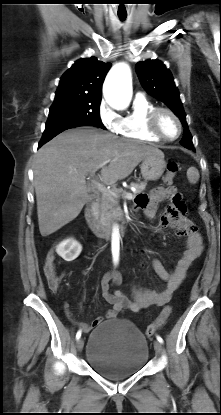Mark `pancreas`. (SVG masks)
Returning <instances> with one entry per match:
<instances>
[{"label": "pancreas", "mask_w": 221, "mask_h": 415, "mask_svg": "<svg viewBox=\"0 0 221 415\" xmlns=\"http://www.w3.org/2000/svg\"><path fill=\"white\" fill-rule=\"evenodd\" d=\"M136 190L133 192V195L139 194L145 190L147 183L146 182H131L130 184ZM115 193L122 192L121 188L113 189ZM119 207V199L117 196L112 194H105L102 195L97 199L95 204V212L97 217L100 219L101 222H112L117 217Z\"/></svg>", "instance_id": "obj_1"}]
</instances>
